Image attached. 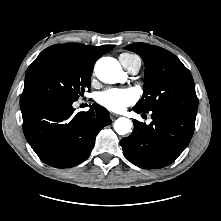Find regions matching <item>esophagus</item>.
Wrapping results in <instances>:
<instances>
[{"label":"esophagus","mask_w":221,"mask_h":221,"mask_svg":"<svg viewBox=\"0 0 221 221\" xmlns=\"http://www.w3.org/2000/svg\"><path fill=\"white\" fill-rule=\"evenodd\" d=\"M119 115L118 114H116V113H113V112H111L110 113V117H111V119L112 120H114L116 117H118Z\"/></svg>","instance_id":"esophagus-1"}]
</instances>
